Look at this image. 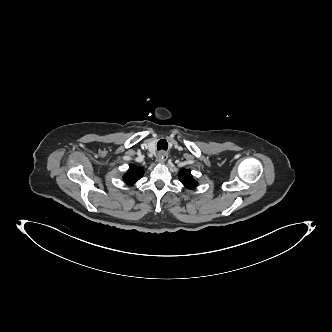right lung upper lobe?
I'll use <instances>...</instances> for the list:
<instances>
[{"label":"right lung upper lobe","mask_w":332,"mask_h":332,"mask_svg":"<svg viewBox=\"0 0 332 332\" xmlns=\"http://www.w3.org/2000/svg\"><path fill=\"white\" fill-rule=\"evenodd\" d=\"M143 176V169L136 167L135 165L131 164L129 166V170L123 176L124 181L129 184H135L141 177Z\"/></svg>","instance_id":"cb5924a9"}]
</instances>
